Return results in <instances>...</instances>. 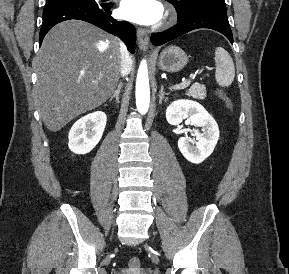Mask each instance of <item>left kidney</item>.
Masks as SVG:
<instances>
[{
  "mask_svg": "<svg viewBox=\"0 0 289 274\" xmlns=\"http://www.w3.org/2000/svg\"><path fill=\"white\" fill-rule=\"evenodd\" d=\"M166 119L171 125L188 119L192 125L201 127V132L194 130L197 142L191 144L187 137L178 140L179 150L188 161L199 164L212 154L219 139V128L202 105L185 99L174 101L166 109Z\"/></svg>",
  "mask_w": 289,
  "mask_h": 274,
  "instance_id": "5707ae66",
  "label": "left kidney"
}]
</instances>
